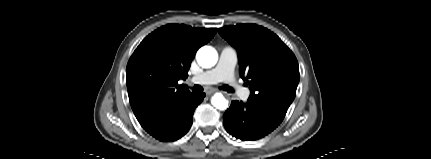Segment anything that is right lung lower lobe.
Instances as JSON below:
<instances>
[{
	"mask_svg": "<svg viewBox=\"0 0 431 159\" xmlns=\"http://www.w3.org/2000/svg\"><path fill=\"white\" fill-rule=\"evenodd\" d=\"M204 97V93L199 95L188 93L142 127L159 141H175L190 129L194 110Z\"/></svg>",
	"mask_w": 431,
	"mask_h": 159,
	"instance_id": "98d812e1",
	"label": "right lung lower lobe"
}]
</instances>
